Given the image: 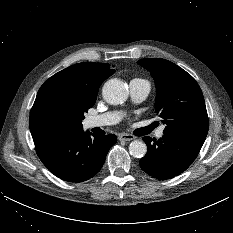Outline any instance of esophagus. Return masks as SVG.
I'll list each match as a JSON object with an SVG mask.
<instances>
[{
    "label": "esophagus",
    "instance_id": "esophagus-1",
    "mask_svg": "<svg viewBox=\"0 0 233 233\" xmlns=\"http://www.w3.org/2000/svg\"><path fill=\"white\" fill-rule=\"evenodd\" d=\"M135 139V136L130 135V134H121L119 136L120 141H132Z\"/></svg>",
    "mask_w": 233,
    "mask_h": 233
}]
</instances>
